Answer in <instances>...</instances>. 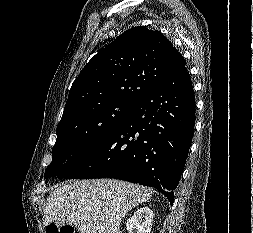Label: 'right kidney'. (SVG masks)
<instances>
[{
    "mask_svg": "<svg viewBox=\"0 0 253 233\" xmlns=\"http://www.w3.org/2000/svg\"><path fill=\"white\" fill-rule=\"evenodd\" d=\"M153 222V213L150 208H139L133 216L128 220L126 227L128 233H133V229L137 233H150Z\"/></svg>",
    "mask_w": 253,
    "mask_h": 233,
    "instance_id": "right-kidney-1",
    "label": "right kidney"
}]
</instances>
